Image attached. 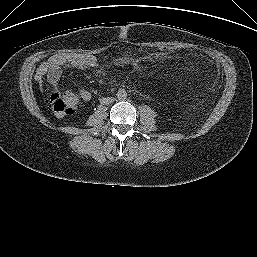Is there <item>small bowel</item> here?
Returning <instances> with one entry per match:
<instances>
[{
  "instance_id": "obj_1",
  "label": "small bowel",
  "mask_w": 257,
  "mask_h": 257,
  "mask_svg": "<svg viewBox=\"0 0 257 257\" xmlns=\"http://www.w3.org/2000/svg\"><path fill=\"white\" fill-rule=\"evenodd\" d=\"M98 60L92 54H55L48 57L37 68L35 80L42 85L46 79L52 90L58 89L59 80L64 71L67 70H86L96 67ZM80 95L84 100L90 98V93L84 89L80 90Z\"/></svg>"
}]
</instances>
